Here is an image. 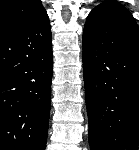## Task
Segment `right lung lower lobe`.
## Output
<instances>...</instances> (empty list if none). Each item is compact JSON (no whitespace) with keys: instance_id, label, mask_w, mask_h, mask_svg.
Here are the masks:
<instances>
[{"instance_id":"98d812e1","label":"right lung lower lobe","mask_w":139,"mask_h":150,"mask_svg":"<svg viewBox=\"0 0 139 150\" xmlns=\"http://www.w3.org/2000/svg\"><path fill=\"white\" fill-rule=\"evenodd\" d=\"M52 72L46 11L0 36V150H45Z\"/></svg>"}]
</instances>
